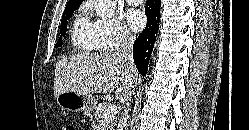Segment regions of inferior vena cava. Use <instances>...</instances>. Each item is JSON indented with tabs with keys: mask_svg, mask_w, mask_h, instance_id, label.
Masks as SVG:
<instances>
[{
	"mask_svg": "<svg viewBox=\"0 0 249 130\" xmlns=\"http://www.w3.org/2000/svg\"><path fill=\"white\" fill-rule=\"evenodd\" d=\"M134 41H135L134 36H132L129 33H124L121 38L119 51L117 52V60L125 66L129 76L136 72V68L133 61ZM131 96L132 93H130L127 99L123 102L125 105L120 120L121 127L125 126V124L127 123V119L129 116L128 114L130 110Z\"/></svg>",
	"mask_w": 249,
	"mask_h": 130,
	"instance_id": "obj_1",
	"label": "inferior vena cava"
}]
</instances>
